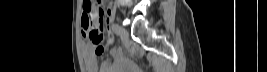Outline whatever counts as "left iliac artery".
Wrapping results in <instances>:
<instances>
[{
    "label": "left iliac artery",
    "instance_id": "44dca946",
    "mask_svg": "<svg viewBox=\"0 0 267 72\" xmlns=\"http://www.w3.org/2000/svg\"><path fill=\"white\" fill-rule=\"evenodd\" d=\"M111 27L116 34L120 33V26L118 24L113 23Z\"/></svg>",
    "mask_w": 267,
    "mask_h": 72
}]
</instances>
